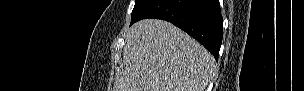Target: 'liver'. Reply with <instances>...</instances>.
<instances>
[{
	"label": "liver",
	"mask_w": 304,
	"mask_h": 91,
	"mask_svg": "<svg viewBox=\"0 0 304 91\" xmlns=\"http://www.w3.org/2000/svg\"><path fill=\"white\" fill-rule=\"evenodd\" d=\"M215 69L211 53L176 26L141 20L127 33L115 91H204Z\"/></svg>",
	"instance_id": "obj_1"
}]
</instances>
